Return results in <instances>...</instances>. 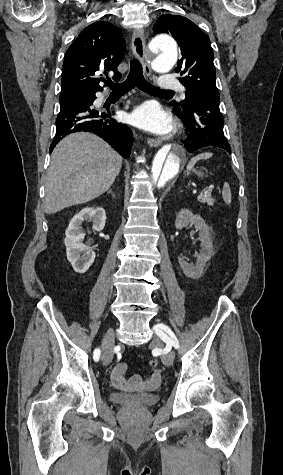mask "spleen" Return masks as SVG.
<instances>
[{
  "label": "spleen",
  "instance_id": "3e777b00",
  "mask_svg": "<svg viewBox=\"0 0 283 475\" xmlns=\"http://www.w3.org/2000/svg\"><path fill=\"white\" fill-rule=\"evenodd\" d=\"M212 154L210 152H205V154H199V156H195V158H192L190 160L187 170H192L194 168L196 162L198 160H208V158H211ZM222 198L225 202V204H231V190L229 184L227 182H224L223 190H222Z\"/></svg>",
  "mask_w": 283,
  "mask_h": 475
}]
</instances>
